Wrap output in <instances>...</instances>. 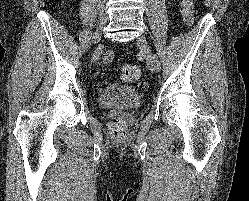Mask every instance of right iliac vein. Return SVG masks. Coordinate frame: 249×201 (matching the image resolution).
Wrapping results in <instances>:
<instances>
[{
	"mask_svg": "<svg viewBox=\"0 0 249 201\" xmlns=\"http://www.w3.org/2000/svg\"><path fill=\"white\" fill-rule=\"evenodd\" d=\"M102 49H103V45L102 44L98 45V47L94 51L93 60L97 59L101 55Z\"/></svg>",
	"mask_w": 249,
	"mask_h": 201,
	"instance_id": "right-iliac-vein-1",
	"label": "right iliac vein"
}]
</instances>
